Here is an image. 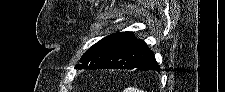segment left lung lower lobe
<instances>
[{
	"label": "left lung lower lobe",
	"instance_id": "left-lung-lower-lobe-1",
	"mask_svg": "<svg viewBox=\"0 0 225 92\" xmlns=\"http://www.w3.org/2000/svg\"><path fill=\"white\" fill-rule=\"evenodd\" d=\"M95 69H136L158 72L160 70L153 52L140 39H134L131 43L123 46Z\"/></svg>",
	"mask_w": 225,
	"mask_h": 92
}]
</instances>
